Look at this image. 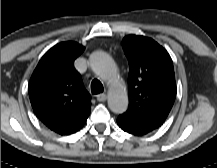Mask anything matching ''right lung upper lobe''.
Here are the masks:
<instances>
[{
    "label": "right lung upper lobe",
    "instance_id": "obj_1",
    "mask_svg": "<svg viewBox=\"0 0 217 168\" xmlns=\"http://www.w3.org/2000/svg\"><path fill=\"white\" fill-rule=\"evenodd\" d=\"M85 47L61 42L39 61L29 82V97L36 116L60 135L78 131L90 111V94L73 63Z\"/></svg>",
    "mask_w": 217,
    "mask_h": 168
}]
</instances>
